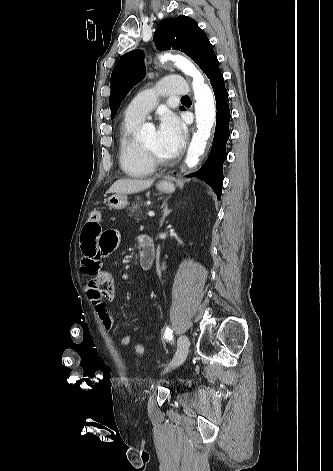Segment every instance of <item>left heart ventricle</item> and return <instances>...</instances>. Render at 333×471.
I'll return each instance as SVG.
<instances>
[{"mask_svg":"<svg viewBox=\"0 0 333 471\" xmlns=\"http://www.w3.org/2000/svg\"><path fill=\"white\" fill-rule=\"evenodd\" d=\"M142 143L160 158H169L165 153L162 152L160 148L158 133L156 130L150 132V134L142 141Z\"/></svg>","mask_w":333,"mask_h":471,"instance_id":"obj_1","label":"left heart ventricle"}]
</instances>
